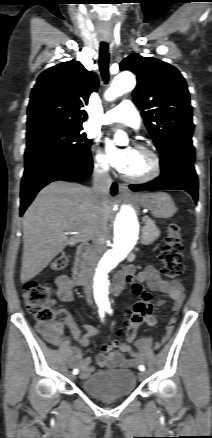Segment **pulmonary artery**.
<instances>
[{
    "label": "pulmonary artery",
    "mask_w": 212,
    "mask_h": 438,
    "mask_svg": "<svg viewBox=\"0 0 212 438\" xmlns=\"http://www.w3.org/2000/svg\"><path fill=\"white\" fill-rule=\"evenodd\" d=\"M103 123H123L138 128L140 126V117L135 106L129 100H124L104 114Z\"/></svg>",
    "instance_id": "1"
}]
</instances>
